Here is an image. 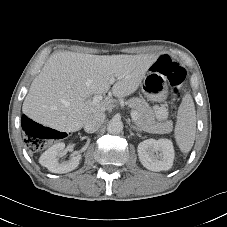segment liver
<instances>
[{"mask_svg":"<svg viewBox=\"0 0 227 227\" xmlns=\"http://www.w3.org/2000/svg\"><path fill=\"white\" fill-rule=\"evenodd\" d=\"M158 56L92 55L70 51L52 54L33 80L22 111L32 120L61 132L79 131L85 120L112 109L114 99L93 104L92 95L105 94L112 77V94H133Z\"/></svg>","mask_w":227,"mask_h":227,"instance_id":"obj_1","label":"liver"}]
</instances>
